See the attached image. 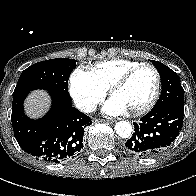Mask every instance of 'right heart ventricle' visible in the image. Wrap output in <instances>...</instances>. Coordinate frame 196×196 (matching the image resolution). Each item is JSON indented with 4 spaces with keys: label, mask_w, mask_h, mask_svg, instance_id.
<instances>
[{
    "label": "right heart ventricle",
    "mask_w": 196,
    "mask_h": 196,
    "mask_svg": "<svg viewBox=\"0 0 196 196\" xmlns=\"http://www.w3.org/2000/svg\"><path fill=\"white\" fill-rule=\"evenodd\" d=\"M141 62L129 59H112L96 63L90 70L96 81L106 90L120 78Z\"/></svg>",
    "instance_id": "e07e8e85"
}]
</instances>
